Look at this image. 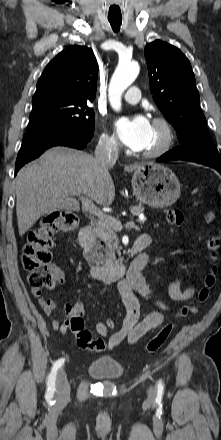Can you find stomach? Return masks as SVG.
Instances as JSON below:
<instances>
[{
	"mask_svg": "<svg viewBox=\"0 0 221 440\" xmlns=\"http://www.w3.org/2000/svg\"><path fill=\"white\" fill-rule=\"evenodd\" d=\"M132 187L137 198L152 207L165 208L180 196V182L165 165L144 163L135 169Z\"/></svg>",
	"mask_w": 221,
	"mask_h": 440,
	"instance_id": "1",
	"label": "stomach"
}]
</instances>
